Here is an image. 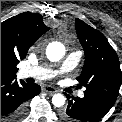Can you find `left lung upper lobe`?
I'll return each instance as SVG.
<instances>
[{
    "label": "left lung upper lobe",
    "mask_w": 122,
    "mask_h": 122,
    "mask_svg": "<svg viewBox=\"0 0 122 122\" xmlns=\"http://www.w3.org/2000/svg\"><path fill=\"white\" fill-rule=\"evenodd\" d=\"M76 32L85 52V63L77 78L92 94L115 102L122 81L120 62L115 50L99 31L76 19Z\"/></svg>",
    "instance_id": "left-lung-upper-lobe-1"
}]
</instances>
